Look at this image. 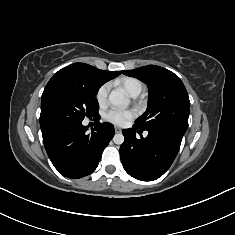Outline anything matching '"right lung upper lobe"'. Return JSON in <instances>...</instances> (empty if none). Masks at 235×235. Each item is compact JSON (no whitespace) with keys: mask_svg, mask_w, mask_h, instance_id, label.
Listing matches in <instances>:
<instances>
[{"mask_svg":"<svg viewBox=\"0 0 235 235\" xmlns=\"http://www.w3.org/2000/svg\"><path fill=\"white\" fill-rule=\"evenodd\" d=\"M57 73H64L72 76L88 85L101 87L105 82L117 77L120 72L103 71L85 63H74L59 70Z\"/></svg>","mask_w":235,"mask_h":235,"instance_id":"1","label":"right lung upper lobe"}]
</instances>
